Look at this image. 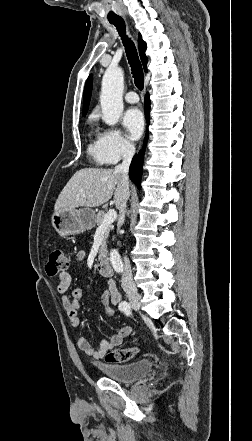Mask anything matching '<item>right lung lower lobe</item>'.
<instances>
[{
  "instance_id": "1",
  "label": "right lung lower lobe",
  "mask_w": 252,
  "mask_h": 441,
  "mask_svg": "<svg viewBox=\"0 0 252 441\" xmlns=\"http://www.w3.org/2000/svg\"><path fill=\"white\" fill-rule=\"evenodd\" d=\"M149 112H150V99H149V94H147L145 97V114H146L148 125H149ZM147 139H148V133L146 136L145 145H146ZM145 145H144V148H145ZM144 148L141 150V152L138 155L136 154L134 156V158L131 162L130 168H129V177L133 181V183L139 187V189L141 188L140 180H141V176H142V163H143Z\"/></svg>"
}]
</instances>
